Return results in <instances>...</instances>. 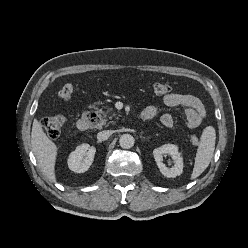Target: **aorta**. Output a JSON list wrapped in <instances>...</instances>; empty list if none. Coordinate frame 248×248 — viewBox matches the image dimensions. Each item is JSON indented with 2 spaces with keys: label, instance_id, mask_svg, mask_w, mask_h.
Wrapping results in <instances>:
<instances>
[{
  "label": "aorta",
  "instance_id": "obj_1",
  "mask_svg": "<svg viewBox=\"0 0 248 248\" xmlns=\"http://www.w3.org/2000/svg\"><path fill=\"white\" fill-rule=\"evenodd\" d=\"M135 143L134 137L130 134H123L119 139V145L123 149H130Z\"/></svg>",
  "mask_w": 248,
  "mask_h": 248
}]
</instances>
